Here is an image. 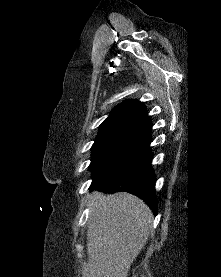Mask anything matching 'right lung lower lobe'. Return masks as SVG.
<instances>
[{"instance_id":"1","label":"right lung lower lobe","mask_w":221,"mask_h":277,"mask_svg":"<svg viewBox=\"0 0 221 277\" xmlns=\"http://www.w3.org/2000/svg\"><path fill=\"white\" fill-rule=\"evenodd\" d=\"M142 126L147 132L143 143L114 171L103 177L93 179L91 189L107 193L126 191L143 199L157 213V198L155 196V175L151 168L152 153L151 120L143 119Z\"/></svg>"}]
</instances>
